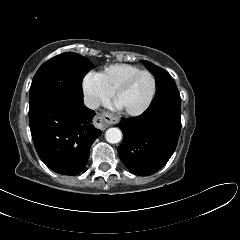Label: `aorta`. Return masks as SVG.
<instances>
[{
	"instance_id": "aorta-1",
	"label": "aorta",
	"mask_w": 240,
	"mask_h": 240,
	"mask_svg": "<svg viewBox=\"0 0 240 240\" xmlns=\"http://www.w3.org/2000/svg\"><path fill=\"white\" fill-rule=\"evenodd\" d=\"M105 138L107 142L111 144H115L121 141L122 139V132L118 128H109L105 133Z\"/></svg>"
}]
</instances>
